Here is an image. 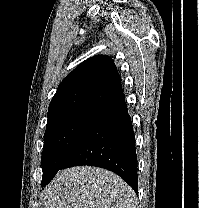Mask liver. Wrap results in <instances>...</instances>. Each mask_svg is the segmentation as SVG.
Instances as JSON below:
<instances>
[{
	"label": "liver",
	"instance_id": "liver-1",
	"mask_svg": "<svg viewBox=\"0 0 199 208\" xmlns=\"http://www.w3.org/2000/svg\"><path fill=\"white\" fill-rule=\"evenodd\" d=\"M43 194V208H136L135 193L127 183L92 166L59 171Z\"/></svg>",
	"mask_w": 199,
	"mask_h": 208
}]
</instances>
